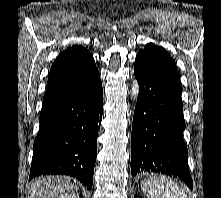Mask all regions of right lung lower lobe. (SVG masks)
Returning a JSON list of instances; mask_svg holds the SVG:
<instances>
[{
  "instance_id": "obj_1",
  "label": "right lung lower lobe",
  "mask_w": 221,
  "mask_h": 198,
  "mask_svg": "<svg viewBox=\"0 0 221 198\" xmlns=\"http://www.w3.org/2000/svg\"><path fill=\"white\" fill-rule=\"evenodd\" d=\"M103 89L98 70L77 85L43 100L30 179L65 174L93 184Z\"/></svg>"
}]
</instances>
